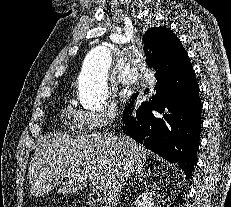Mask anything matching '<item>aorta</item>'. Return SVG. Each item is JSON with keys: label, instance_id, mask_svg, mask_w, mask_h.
<instances>
[{"label": "aorta", "instance_id": "obj_1", "mask_svg": "<svg viewBox=\"0 0 231 207\" xmlns=\"http://www.w3.org/2000/svg\"><path fill=\"white\" fill-rule=\"evenodd\" d=\"M112 63V54L106 45L92 48L83 61L78 79L79 100L90 110H100L108 98L107 75Z\"/></svg>", "mask_w": 231, "mask_h": 207}]
</instances>
